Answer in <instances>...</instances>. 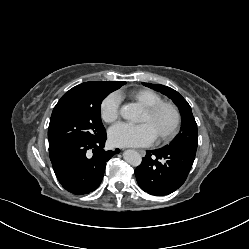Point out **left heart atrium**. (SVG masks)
<instances>
[{"label":"left heart atrium","instance_id":"39dd6f15","mask_svg":"<svg viewBox=\"0 0 249 249\" xmlns=\"http://www.w3.org/2000/svg\"><path fill=\"white\" fill-rule=\"evenodd\" d=\"M155 139L156 134L147 122L138 125L119 123L109 130L111 144L118 147L147 146Z\"/></svg>","mask_w":249,"mask_h":249}]
</instances>
